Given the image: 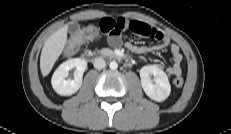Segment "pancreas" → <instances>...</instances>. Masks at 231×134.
Segmentation results:
<instances>
[{"mask_svg": "<svg viewBox=\"0 0 231 134\" xmlns=\"http://www.w3.org/2000/svg\"><path fill=\"white\" fill-rule=\"evenodd\" d=\"M100 52H101V54H103L105 56H113L114 55L113 51L108 49V48H104Z\"/></svg>", "mask_w": 231, "mask_h": 134, "instance_id": "obj_1", "label": "pancreas"}]
</instances>
